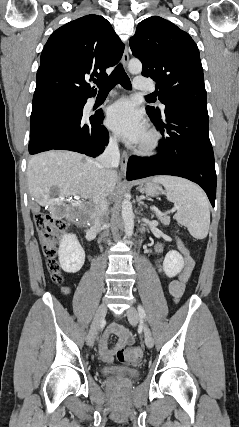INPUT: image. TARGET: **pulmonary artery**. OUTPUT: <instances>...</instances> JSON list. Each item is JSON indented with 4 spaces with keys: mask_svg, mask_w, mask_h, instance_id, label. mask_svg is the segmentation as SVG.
<instances>
[{
    "mask_svg": "<svg viewBox=\"0 0 239 427\" xmlns=\"http://www.w3.org/2000/svg\"><path fill=\"white\" fill-rule=\"evenodd\" d=\"M134 88L140 91H148L153 92L155 90V86L150 81H147L142 76H137L134 81ZM94 101V99H92Z\"/></svg>",
    "mask_w": 239,
    "mask_h": 427,
    "instance_id": "1",
    "label": "pulmonary artery"
}]
</instances>
